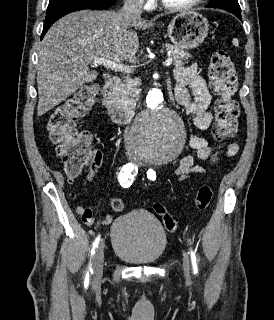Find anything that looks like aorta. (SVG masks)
<instances>
[{"instance_id": "1", "label": "aorta", "mask_w": 274, "mask_h": 320, "mask_svg": "<svg viewBox=\"0 0 274 320\" xmlns=\"http://www.w3.org/2000/svg\"><path fill=\"white\" fill-rule=\"evenodd\" d=\"M147 107L131 127L134 148L146 160L167 162L181 152L186 131L177 113L170 109L161 89L152 88L146 97Z\"/></svg>"}]
</instances>
